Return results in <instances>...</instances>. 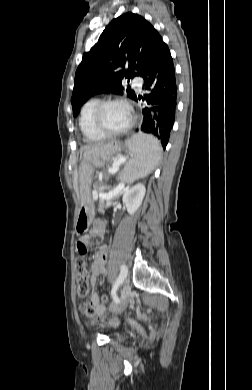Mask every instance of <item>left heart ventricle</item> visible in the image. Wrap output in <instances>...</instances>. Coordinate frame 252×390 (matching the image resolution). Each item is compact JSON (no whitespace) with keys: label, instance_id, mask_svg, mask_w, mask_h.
Segmentation results:
<instances>
[{"label":"left heart ventricle","instance_id":"1","mask_svg":"<svg viewBox=\"0 0 252 390\" xmlns=\"http://www.w3.org/2000/svg\"><path fill=\"white\" fill-rule=\"evenodd\" d=\"M101 119L108 130H120L130 122L131 113L126 105L114 103L105 107Z\"/></svg>","mask_w":252,"mask_h":390}]
</instances>
